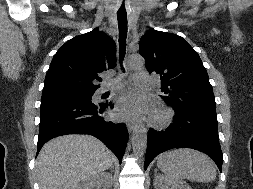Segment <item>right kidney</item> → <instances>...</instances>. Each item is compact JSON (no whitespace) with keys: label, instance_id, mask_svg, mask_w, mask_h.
<instances>
[{"label":"right kidney","instance_id":"ca27d5eb","mask_svg":"<svg viewBox=\"0 0 253 189\" xmlns=\"http://www.w3.org/2000/svg\"><path fill=\"white\" fill-rule=\"evenodd\" d=\"M112 176L102 172L82 181L75 189H111Z\"/></svg>","mask_w":253,"mask_h":189}]
</instances>
